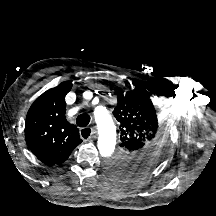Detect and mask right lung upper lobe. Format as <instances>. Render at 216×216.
I'll return each instance as SVG.
<instances>
[{
    "label": "right lung upper lobe",
    "instance_id": "right-lung-upper-lobe-1",
    "mask_svg": "<svg viewBox=\"0 0 216 216\" xmlns=\"http://www.w3.org/2000/svg\"><path fill=\"white\" fill-rule=\"evenodd\" d=\"M69 81L44 92L30 107L25 123L29 149L44 164L60 165L82 140L78 128L65 117Z\"/></svg>",
    "mask_w": 216,
    "mask_h": 216
}]
</instances>
